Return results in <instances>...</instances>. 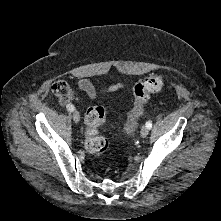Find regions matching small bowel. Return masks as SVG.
<instances>
[{
    "label": "small bowel",
    "mask_w": 221,
    "mask_h": 221,
    "mask_svg": "<svg viewBox=\"0 0 221 221\" xmlns=\"http://www.w3.org/2000/svg\"><path fill=\"white\" fill-rule=\"evenodd\" d=\"M79 86L82 90H84L87 95L90 97V98H95L96 97V91H95V88L94 86L88 81V80H85V79H82L79 81ZM123 85L118 83V84H114L112 86L109 87V91L110 92H113V91H116L120 88H122Z\"/></svg>",
    "instance_id": "obj_1"
}]
</instances>
